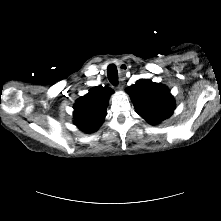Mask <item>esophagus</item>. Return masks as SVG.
<instances>
[{
	"mask_svg": "<svg viewBox=\"0 0 221 221\" xmlns=\"http://www.w3.org/2000/svg\"><path fill=\"white\" fill-rule=\"evenodd\" d=\"M124 66H125V65H122V67H124ZM121 70H122L121 72H122L123 74H124V72L126 71L125 68H123V69H121ZM123 74H122V75H123ZM121 80H124V78H122ZM122 88H123V86H122L121 84H119V85H118V89L121 90Z\"/></svg>",
	"mask_w": 221,
	"mask_h": 221,
	"instance_id": "34e87169",
	"label": "esophagus"
}]
</instances>
